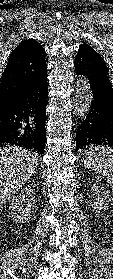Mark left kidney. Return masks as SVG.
<instances>
[{
    "mask_svg": "<svg viewBox=\"0 0 113 279\" xmlns=\"http://www.w3.org/2000/svg\"><path fill=\"white\" fill-rule=\"evenodd\" d=\"M91 191L93 192V197L95 199L92 204L93 208L97 210L107 209L108 203L111 202L109 192L105 190L104 187L99 186L98 184H93L91 187ZM112 201H113V197H112Z\"/></svg>",
    "mask_w": 113,
    "mask_h": 279,
    "instance_id": "5707ae66",
    "label": "left kidney"
}]
</instances>
